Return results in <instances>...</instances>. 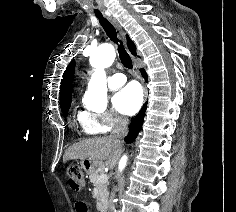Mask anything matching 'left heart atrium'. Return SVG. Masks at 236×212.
Instances as JSON below:
<instances>
[{
	"mask_svg": "<svg viewBox=\"0 0 236 212\" xmlns=\"http://www.w3.org/2000/svg\"><path fill=\"white\" fill-rule=\"evenodd\" d=\"M143 92L136 83H129L119 90L113 97L115 109L123 115H133L141 107Z\"/></svg>",
	"mask_w": 236,
	"mask_h": 212,
	"instance_id": "left-heart-atrium-1",
	"label": "left heart atrium"
}]
</instances>
